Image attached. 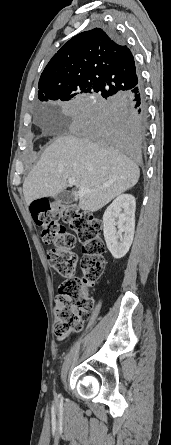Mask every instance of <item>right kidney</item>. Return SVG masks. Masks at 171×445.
Here are the masks:
<instances>
[{"mask_svg":"<svg viewBox=\"0 0 171 445\" xmlns=\"http://www.w3.org/2000/svg\"><path fill=\"white\" fill-rule=\"evenodd\" d=\"M135 208L134 196L121 194L104 212V238L108 250L116 259L124 257L132 244L135 229ZM122 233H124L123 236Z\"/></svg>","mask_w":171,"mask_h":445,"instance_id":"1","label":"right kidney"}]
</instances>
